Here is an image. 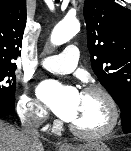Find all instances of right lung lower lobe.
I'll list each match as a JSON object with an SVG mask.
<instances>
[{
    "mask_svg": "<svg viewBox=\"0 0 131 151\" xmlns=\"http://www.w3.org/2000/svg\"><path fill=\"white\" fill-rule=\"evenodd\" d=\"M15 109L14 105H6L0 103V117H6L10 115Z\"/></svg>",
    "mask_w": 131,
    "mask_h": 151,
    "instance_id": "obj_1",
    "label": "right lung lower lobe"
}]
</instances>
